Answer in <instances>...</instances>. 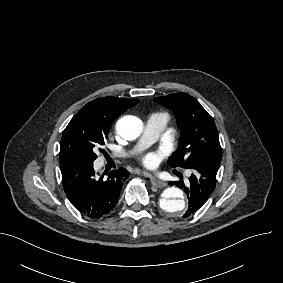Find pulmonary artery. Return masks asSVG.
I'll return each mask as SVG.
<instances>
[{
    "instance_id": "e3ab8cb5",
    "label": "pulmonary artery",
    "mask_w": 283,
    "mask_h": 283,
    "mask_svg": "<svg viewBox=\"0 0 283 283\" xmlns=\"http://www.w3.org/2000/svg\"><path fill=\"white\" fill-rule=\"evenodd\" d=\"M168 122V115L165 113L151 114L145 124V129L142 138L140 139L137 149H140L151 142H154L164 131Z\"/></svg>"
}]
</instances>
